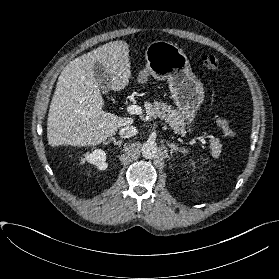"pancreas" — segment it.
<instances>
[{
  "instance_id": "1",
  "label": "pancreas",
  "mask_w": 279,
  "mask_h": 279,
  "mask_svg": "<svg viewBox=\"0 0 279 279\" xmlns=\"http://www.w3.org/2000/svg\"><path fill=\"white\" fill-rule=\"evenodd\" d=\"M146 110L150 116L165 120L175 133L184 134V120L179 110H175L171 105L158 101L152 104L149 103ZM211 146L217 153L220 152L221 145L218 139L212 141Z\"/></svg>"
}]
</instances>
